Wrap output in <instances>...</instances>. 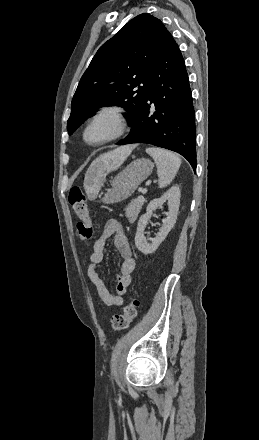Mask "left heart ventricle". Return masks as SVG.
I'll return each mask as SVG.
<instances>
[{
    "mask_svg": "<svg viewBox=\"0 0 259 440\" xmlns=\"http://www.w3.org/2000/svg\"><path fill=\"white\" fill-rule=\"evenodd\" d=\"M114 131V124L108 118L97 120L87 131L86 137L95 142L110 136Z\"/></svg>",
    "mask_w": 259,
    "mask_h": 440,
    "instance_id": "1",
    "label": "left heart ventricle"
}]
</instances>
